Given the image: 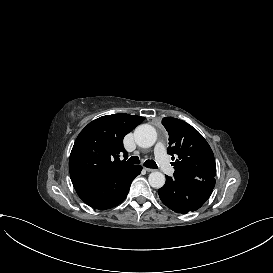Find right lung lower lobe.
Returning <instances> with one entry per match:
<instances>
[{"mask_svg":"<svg viewBox=\"0 0 273 273\" xmlns=\"http://www.w3.org/2000/svg\"><path fill=\"white\" fill-rule=\"evenodd\" d=\"M141 170L142 167L137 165L127 177L118 179L113 185L110 198L104 203L99 204L93 208L105 210L120 204L126 198L131 182L136 176L140 174Z\"/></svg>","mask_w":273,"mask_h":273,"instance_id":"obj_1","label":"right lung lower lobe"}]
</instances>
